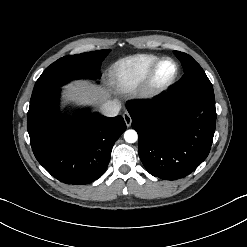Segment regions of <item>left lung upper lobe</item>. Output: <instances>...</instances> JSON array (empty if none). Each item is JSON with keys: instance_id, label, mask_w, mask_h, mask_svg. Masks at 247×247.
<instances>
[{"instance_id": "left-lung-upper-lobe-1", "label": "left lung upper lobe", "mask_w": 247, "mask_h": 247, "mask_svg": "<svg viewBox=\"0 0 247 247\" xmlns=\"http://www.w3.org/2000/svg\"><path fill=\"white\" fill-rule=\"evenodd\" d=\"M184 68V75L170 90L173 94L195 91L213 92V87L200 65L188 54L174 51Z\"/></svg>"}]
</instances>
